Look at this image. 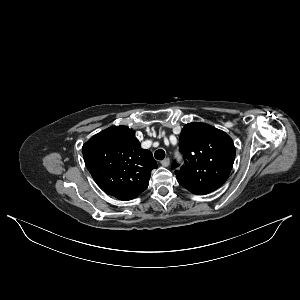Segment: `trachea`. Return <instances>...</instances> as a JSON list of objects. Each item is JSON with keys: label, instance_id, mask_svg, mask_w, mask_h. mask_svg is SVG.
<instances>
[{"label": "trachea", "instance_id": "3493384b", "mask_svg": "<svg viewBox=\"0 0 300 300\" xmlns=\"http://www.w3.org/2000/svg\"><path fill=\"white\" fill-rule=\"evenodd\" d=\"M154 156L157 160H163L165 158V151L163 149H158Z\"/></svg>", "mask_w": 300, "mask_h": 300}]
</instances>
